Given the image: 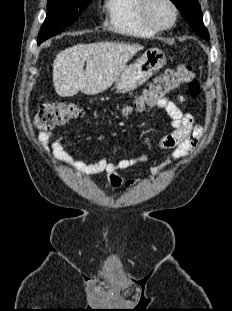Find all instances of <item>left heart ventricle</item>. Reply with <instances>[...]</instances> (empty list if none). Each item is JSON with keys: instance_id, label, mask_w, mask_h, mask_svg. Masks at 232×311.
<instances>
[{"instance_id": "1", "label": "left heart ventricle", "mask_w": 232, "mask_h": 311, "mask_svg": "<svg viewBox=\"0 0 232 311\" xmlns=\"http://www.w3.org/2000/svg\"><path fill=\"white\" fill-rule=\"evenodd\" d=\"M150 18L159 25H169L173 18L172 9L164 0H153L149 5Z\"/></svg>"}]
</instances>
